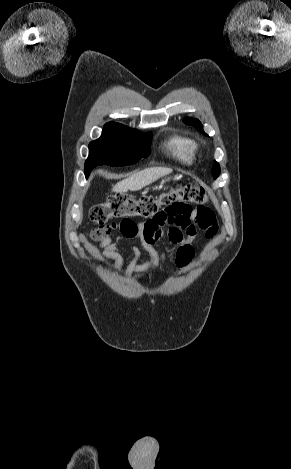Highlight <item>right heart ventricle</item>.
<instances>
[{
	"label": "right heart ventricle",
	"instance_id": "right-heart-ventricle-1",
	"mask_svg": "<svg viewBox=\"0 0 291 469\" xmlns=\"http://www.w3.org/2000/svg\"><path fill=\"white\" fill-rule=\"evenodd\" d=\"M164 149L174 159L184 164H192L195 159L197 144L187 136L174 134L164 142Z\"/></svg>",
	"mask_w": 291,
	"mask_h": 469
}]
</instances>
